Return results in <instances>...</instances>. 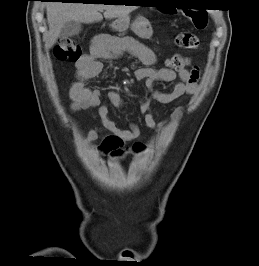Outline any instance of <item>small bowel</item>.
<instances>
[{"label": "small bowel", "mask_w": 259, "mask_h": 266, "mask_svg": "<svg viewBox=\"0 0 259 266\" xmlns=\"http://www.w3.org/2000/svg\"><path fill=\"white\" fill-rule=\"evenodd\" d=\"M124 54L135 57L145 65L136 70L135 76L137 80L145 81L150 92L148 100L141 105L140 111L145 125L151 129L159 131L165 125L164 122L155 121L151 107L152 101L161 105H169L182 96L195 94L198 89L199 69L194 67L191 70L183 69L178 72L180 81L174 85L171 91L156 90L154 85L157 82H172L177 74L168 68H153L152 66L156 63V55L149 47L132 37L96 36L91 43L89 52L82 55L76 62L77 81L71 86L70 96L73 101L72 111L97 108L102 127L91 129L85 143L97 140L102 131L110 132L111 134L106 136L98 147L99 152L104 155L119 153L126 143L139 137L140 129L135 123H130L127 129H122L109 118L108 106L104 103V99L116 108L124 106V100L117 92L111 91L104 95L99 90L87 88L84 82L100 74L102 59L119 57ZM180 112L181 107L175 108L173 116Z\"/></svg>", "instance_id": "obj_1"}]
</instances>
